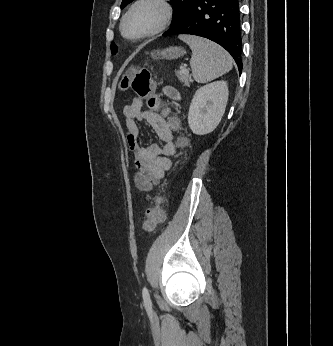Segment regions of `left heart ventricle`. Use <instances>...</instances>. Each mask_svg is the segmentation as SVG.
I'll use <instances>...</instances> for the list:
<instances>
[{
  "label": "left heart ventricle",
  "mask_w": 333,
  "mask_h": 346,
  "mask_svg": "<svg viewBox=\"0 0 333 346\" xmlns=\"http://www.w3.org/2000/svg\"><path fill=\"white\" fill-rule=\"evenodd\" d=\"M162 9L155 3H143L127 18L124 30L128 36H136L155 28L162 19Z\"/></svg>",
  "instance_id": "left-heart-ventricle-1"
}]
</instances>
